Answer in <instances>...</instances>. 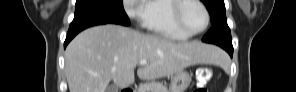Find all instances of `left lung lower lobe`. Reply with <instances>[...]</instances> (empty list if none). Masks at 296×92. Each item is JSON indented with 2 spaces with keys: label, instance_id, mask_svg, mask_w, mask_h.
Listing matches in <instances>:
<instances>
[{
  "label": "left lung lower lobe",
  "instance_id": "1",
  "mask_svg": "<svg viewBox=\"0 0 296 92\" xmlns=\"http://www.w3.org/2000/svg\"><path fill=\"white\" fill-rule=\"evenodd\" d=\"M222 48L225 49L230 54V56L232 57V55H233V46L224 45V46H222Z\"/></svg>",
  "mask_w": 296,
  "mask_h": 92
}]
</instances>
